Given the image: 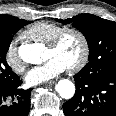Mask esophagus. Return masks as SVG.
<instances>
[{"label": "esophagus", "instance_id": "34e87169", "mask_svg": "<svg viewBox=\"0 0 116 116\" xmlns=\"http://www.w3.org/2000/svg\"><path fill=\"white\" fill-rule=\"evenodd\" d=\"M45 84L48 85V86H52V85L55 84V81H49V82H46Z\"/></svg>", "mask_w": 116, "mask_h": 116}]
</instances>
